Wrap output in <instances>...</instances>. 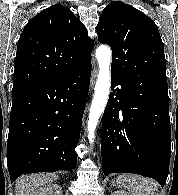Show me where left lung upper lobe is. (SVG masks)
Masks as SVG:
<instances>
[{
	"instance_id": "left-lung-upper-lobe-1",
	"label": "left lung upper lobe",
	"mask_w": 178,
	"mask_h": 195,
	"mask_svg": "<svg viewBox=\"0 0 178 195\" xmlns=\"http://www.w3.org/2000/svg\"><path fill=\"white\" fill-rule=\"evenodd\" d=\"M96 30L98 41L112 49L111 75L140 92L169 99L164 46L152 19L115 1L103 10Z\"/></svg>"
}]
</instances>
